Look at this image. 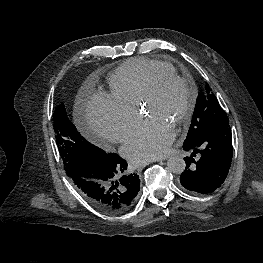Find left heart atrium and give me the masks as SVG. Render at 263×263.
Returning <instances> with one entry per match:
<instances>
[{
	"mask_svg": "<svg viewBox=\"0 0 263 263\" xmlns=\"http://www.w3.org/2000/svg\"><path fill=\"white\" fill-rule=\"evenodd\" d=\"M174 137L172 126L159 118H149L130 135L122 154L135 164H143L166 155Z\"/></svg>",
	"mask_w": 263,
	"mask_h": 263,
	"instance_id": "left-heart-atrium-1",
	"label": "left heart atrium"
}]
</instances>
